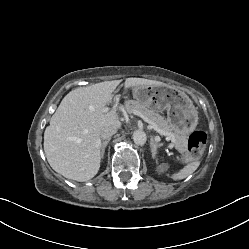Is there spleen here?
Segmentation results:
<instances>
[{
  "label": "spleen",
  "instance_id": "obj_1",
  "mask_svg": "<svg viewBox=\"0 0 249 249\" xmlns=\"http://www.w3.org/2000/svg\"><path fill=\"white\" fill-rule=\"evenodd\" d=\"M199 161H193L187 164L184 168H182L179 172L174 173L171 177L174 180H182L191 175L196 169L199 167Z\"/></svg>",
  "mask_w": 249,
  "mask_h": 249
}]
</instances>
